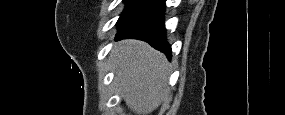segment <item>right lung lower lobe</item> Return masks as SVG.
<instances>
[{
    "label": "right lung lower lobe",
    "instance_id": "1",
    "mask_svg": "<svg viewBox=\"0 0 285 115\" xmlns=\"http://www.w3.org/2000/svg\"><path fill=\"white\" fill-rule=\"evenodd\" d=\"M164 11L165 1L160 0L118 27L115 40L134 38L146 41L171 59V47L166 40Z\"/></svg>",
    "mask_w": 285,
    "mask_h": 115
}]
</instances>
